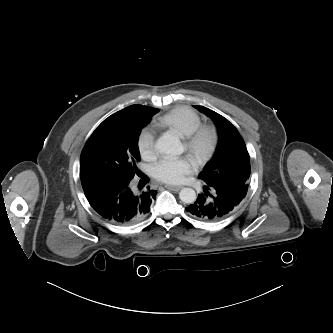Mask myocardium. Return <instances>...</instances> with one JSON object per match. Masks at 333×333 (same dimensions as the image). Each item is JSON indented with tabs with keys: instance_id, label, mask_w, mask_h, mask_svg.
I'll return each mask as SVG.
<instances>
[{
	"instance_id": "obj_1",
	"label": "myocardium",
	"mask_w": 333,
	"mask_h": 333,
	"mask_svg": "<svg viewBox=\"0 0 333 333\" xmlns=\"http://www.w3.org/2000/svg\"><path fill=\"white\" fill-rule=\"evenodd\" d=\"M219 131L212 124L200 125L190 135L184 137V145L194 163L206 165L215 155L219 145Z\"/></svg>"
}]
</instances>
